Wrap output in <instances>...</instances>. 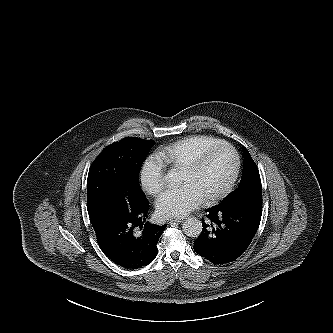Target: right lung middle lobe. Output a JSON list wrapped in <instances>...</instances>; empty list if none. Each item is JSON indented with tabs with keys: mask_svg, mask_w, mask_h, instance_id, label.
Segmentation results:
<instances>
[{
	"mask_svg": "<svg viewBox=\"0 0 333 333\" xmlns=\"http://www.w3.org/2000/svg\"><path fill=\"white\" fill-rule=\"evenodd\" d=\"M153 140L127 137L107 146L92 163L87 179V210L98 215L148 203L139 185V172Z\"/></svg>",
	"mask_w": 333,
	"mask_h": 333,
	"instance_id": "obj_1",
	"label": "right lung middle lobe"
}]
</instances>
